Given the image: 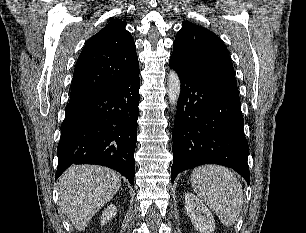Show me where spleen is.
Here are the masks:
<instances>
[{"label":"spleen","instance_id":"obj_1","mask_svg":"<svg viewBox=\"0 0 306 233\" xmlns=\"http://www.w3.org/2000/svg\"><path fill=\"white\" fill-rule=\"evenodd\" d=\"M190 181L197 196L224 226L236 223L242 209L243 190L229 169L217 165L199 166L192 171Z\"/></svg>","mask_w":306,"mask_h":233}]
</instances>
